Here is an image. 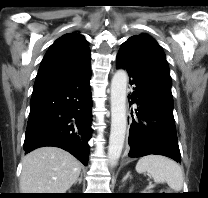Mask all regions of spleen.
<instances>
[{
  "mask_svg": "<svg viewBox=\"0 0 208 198\" xmlns=\"http://www.w3.org/2000/svg\"><path fill=\"white\" fill-rule=\"evenodd\" d=\"M138 173H148L156 183H167L174 191L183 187V171L173 160L161 155H148L139 159L136 164Z\"/></svg>",
  "mask_w": 208,
  "mask_h": 198,
  "instance_id": "spleen-1",
  "label": "spleen"
}]
</instances>
